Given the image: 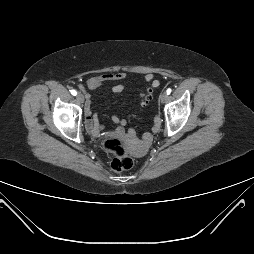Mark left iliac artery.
I'll list each match as a JSON object with an SVG mask.
<instances>
[{
	"label": "left iliac artery",
	"instance_id": "obj_1",
	"mask_svg": "<svg viewBox=\"0 0 254 254\" xmlns=\"http://www.w3.org/2000/svg\"><path fill=\"white\" fill-rule=\"evenodd\" d=\"M171 91H172V90H171L170 88H168L166 92H167V94L169 95V94L171 93Z\"/></svg>",
	"mask_w": 254,
	"mask_h": 254
}]
</instances>
